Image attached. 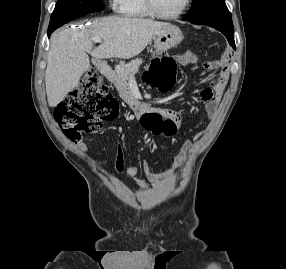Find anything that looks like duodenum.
I'll use <instances>...</instances> for the list:
<instances>
[{"mask_svg": "<svg viewBox=\"0 0 286 269\" xmlns=\"http://www.w3.org/2000/svg\"><path fill=\"white\" fill-rule=\"evenodd\" d=\"M96 66L105 78H109L111 76L112 70H111L110 66L107 65L105 62L99 61L96 63ZM133 107L136 108L137 110H142L143 108L147 109L146 106L139 105L137 103L133 104Z\"/></svg>", "mask_w": 286, "mask_h": 269, "instance_id": "1", "label": "duodenum"}]
</instances>
